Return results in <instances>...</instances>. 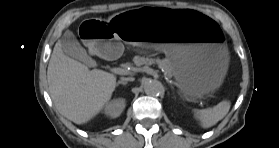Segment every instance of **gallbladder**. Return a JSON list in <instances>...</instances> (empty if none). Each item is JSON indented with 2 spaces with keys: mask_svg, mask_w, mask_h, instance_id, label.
<instances>
[{
  "mask_svg": "<svg viewBox=\"0 0 279 148\" xmlns=\"http://www.w3.org/2000/svg\"><path fill=\"white\" fill-rule=\"evenodd\" d=\"M64 53L74 59L87 63L90 57L86 50L80 45L73 32L67 30L59 40Z\"/></svg>",
  "mask_w": 279,
  "mask_h": 148,
  "instance_id": "1",
  "label": "gallbladder"
}]
</instances>
